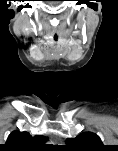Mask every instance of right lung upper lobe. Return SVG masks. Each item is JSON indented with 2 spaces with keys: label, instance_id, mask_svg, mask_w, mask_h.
Masks as SVG:
<instances>
[{
  "label": "right lung upper lobe",
  "instance_id": "1",
  "mask_svg": "<svg viewBox=\"0 0 118 151\" xmlns=\"http://www.w3.org/2000/svg\"><path fill=\"white\" fill-rule=\"evenodd\" d=\"M47 138L45 136L32 137L28 132L13 131L6 144L2 146L8 151H33L44 149Z\"/></svg>",
  "mask_w": 118,
  "mask_h": 151
}]
</instances>
